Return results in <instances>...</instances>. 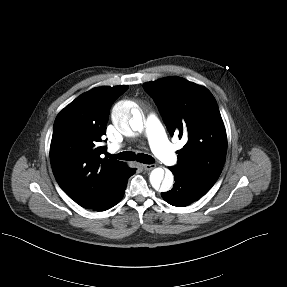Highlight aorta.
<instances>
[{
    "instance_id": "1",
    "label": "aorta",
    "mask_w": 287,
    "mask_h": 287,
    "mask_svg": "<svg viewBox=\"0 0 287 287\" xmlns=\"http://www.w3.org/2000/svg\"><path fill=\"white\" fill-rule=\"evenodd\" d=\"M112 122L121 132H126L129 129L142 132L144 127L139 109L130 107L125 103H118L114 106ZM149 180L155 190L166 192L172 188L174 177L171 172H167L164 177V170L162 168H155L151 171Z\"/></svg>"
}]
</instances>
